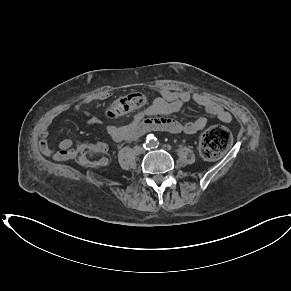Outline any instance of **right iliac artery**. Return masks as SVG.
<instances>
[{"label": "right iliac artery", "mask_w": 291, "mask_h": 291, "mask_svg": "<svg viewBox=\"0 0 291 291\" xmlns=\"http://www.w3.org/2000/svg\"><path fill=\"white\" fill-rule=\"evenodd\" d=\"M143 147L146 149V150H149L150 148H152V145H151V138L149 137L145 143L143 144Z\"/></svg>", "instance_id": "82829eb1"}]
</instances>
